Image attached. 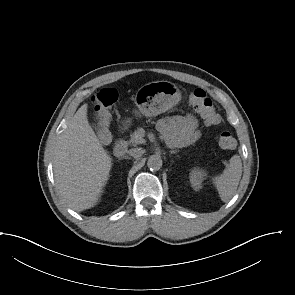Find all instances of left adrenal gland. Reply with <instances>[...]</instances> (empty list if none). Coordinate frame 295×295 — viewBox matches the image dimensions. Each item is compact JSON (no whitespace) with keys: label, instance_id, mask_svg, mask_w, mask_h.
I'll return each mask as SVG.
<instances>
[{"label":"left adrenal gland","instance_id":"left-adrenal-gland-1","mask_svg":"<svg viewBox=\"0 0 295 295\" xmlns=\"http://www.w3.org/2000/svg\"><path fill=\"white\" fill-rule=\"evenodd\" d=\"M175 153H177V150L170 151V154H175Z\"/></svg>","mask_w":295,"mask_h":295}]
</instances>
